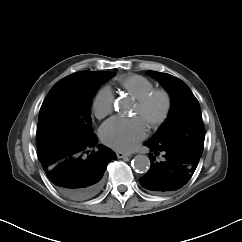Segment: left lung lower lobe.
<instances>
[{
  "instance_id": "obj_1",
  "label": "left lung lower lobe",
  "mask_w": 242,
  "mask_h": 242,
  "mask_svg": "<svg viewBox=\"0 0 242 242\" xmlns=\"http://www.w3.org/2000/svg\"><path fill=\"white\" fill-rule=\"evenodd\" d=\"M145 146L151 149V167L139 182L145 189L155 192L180 189L190 180L201 158V155L183 148L163 147L148 141ZM159 154L163 158L157 162L155 158Z\"/></svg>"
}]
</instances>
